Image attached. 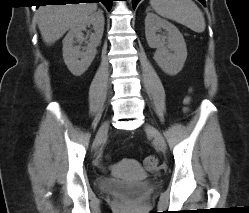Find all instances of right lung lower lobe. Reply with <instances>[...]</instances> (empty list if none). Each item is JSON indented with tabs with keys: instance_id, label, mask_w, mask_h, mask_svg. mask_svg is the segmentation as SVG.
<instances>
[{
	"instance_id": "98d812e1",
	"label": "right lung lower lobe",
	"mask_w": 249,
	"mask_h": 213,
	"mask_svg": "<svg viewBox=\"0 0 249 213\" xmlns=\"http://www.w3.org/2000/svg\"><path fill=\"white\" fill-rule=\"evenodd\" d=\"M82 1H91V3L102 2L107 7L108 10L111 9L112 2H113V0H46L45 2L55 3L59 5V4H65V3H78L79 4Z\"/></svg>"
}]
</instances>
